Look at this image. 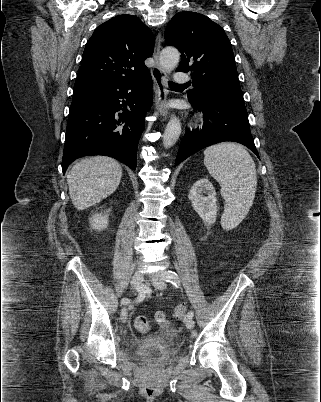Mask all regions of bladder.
<instances>
[{
	"label": "bladder",
	"mask_w": 321,
	"mask_h": 402,
	"mask_svg": "<svg viewBox=\"0 0 321 402\" xmlns=\"http://www.w3.org/2000/svg\"><path fill=\"white\" fill-rule=\"evenodd\" d=\"M133 351L142 360L152 365H166L173 358L161 334H153L139 339L133 347Z\"/></svg>",
	"instance_id": "bladder-1"
}]
</instances>
